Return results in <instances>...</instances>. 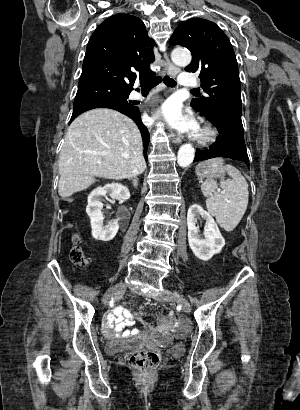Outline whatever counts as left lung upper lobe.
<instances>
[{
  "instance_id": "1",
  "label": "left lung upper lobe",
  "mask_w": 300,
  "mask_h": 410,
  "mask_svg": "<svg viewBox=\"0 0 300 410\" xmlns=\"http://www.w3.org/2000/svg\"><path fill=\"white\" fill-rule=\"evenodd\" d=\"M169 43L188 48L192 62L187 72L200 73L201 87L207 97L192 99L191 106L207 119L217 111L241 115V85L232 45L213 22L192 18L181 22Z\"/></svg>"
}]
</instances>
